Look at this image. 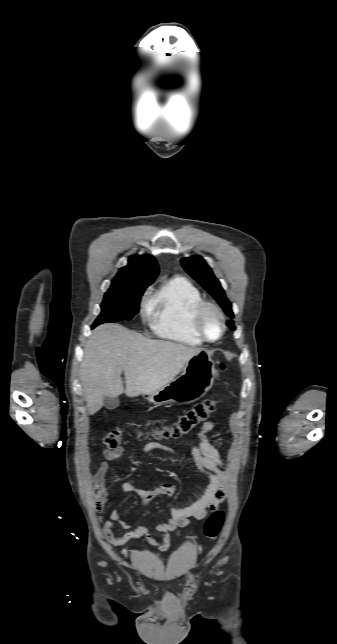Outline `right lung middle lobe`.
Returning a JSON list of instances; mask_svg holds the SVG:
<instances>
[{"label":"right lung middle lobe","instance_id":"1","mask_svg":"<svg viewBox=\"0 0 337 644\" xmlns=\"http://www.w3.org/2000/svg\"><path fill=\"white\" fill-rule=\"evenodd\" d=\"M146 287L109 289L101 304V313L93 324L130 320L139 311V303Z\"/></svg>","mask_w":337,"mask_h":644}]
</instances>
